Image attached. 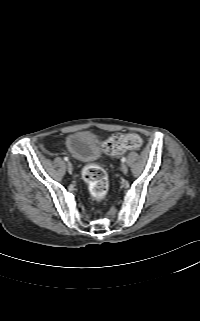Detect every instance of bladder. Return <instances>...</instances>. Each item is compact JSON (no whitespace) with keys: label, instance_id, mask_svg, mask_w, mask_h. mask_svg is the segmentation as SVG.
Masks as SVG:
<instances>
[{"label":"bladder","instance_id":"31cf9c89","mask_svg":"<svg viewBox=\"0 0 200 321\" xmlns=\"http://www.w3.org/2000/svg\"><path fill=\"white\" fill-rule=\"evenodd\" d=\"M69 154L78 161L92 162L99 158L101 145L96 136L86 130L70 133L65 140Z\"/></svg>","mask_w":200,"mask_h":321}]
</instances>
